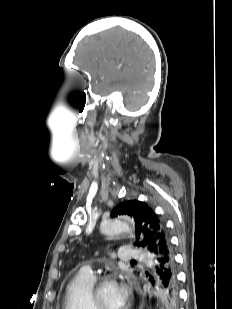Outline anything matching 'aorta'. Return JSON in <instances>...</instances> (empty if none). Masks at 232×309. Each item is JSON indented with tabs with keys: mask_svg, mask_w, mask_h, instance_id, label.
I'll return each mask as SVG.
<instances>
[{
	"mask_svg": "<svg viewBox=\"0 0 232 309\" xmlns=\"http://www.w3.org/2000/svg\"><path fill=\"white\" fill-rule=\"evenodd\" d=\"M132 225L127 219L107 220L102 224V232L106 235H118L121 233L131 232Z\"/></svg>",
	"mask_w": 232,
	"mask_h": 309,
	"instance_id": "1",
	"label": "aorta"
}]
</instances>
